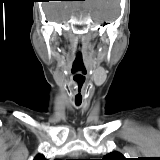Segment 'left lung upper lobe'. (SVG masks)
<instances>
[{
	"label": "left lung upper lobe",
	"instance_id": "5c2ea615",
	"mask_svg": "<svg viewBox=\"0 0 160 160\" xmlns=\"http://www.w3.org/2000/svg\"><path fill=\"white\" fill-rule=\"evenodd\" d=\"M102 160H126V158L119 152H111Z\"/></svg>",
	"mask_w": 160,
	"mask_h": 160
}]
</instances>
